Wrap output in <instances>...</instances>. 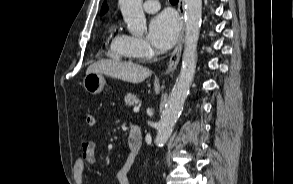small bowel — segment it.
<instances>
[{"label": "small bowel", "instance_id": "obj_1", "mask_svg": "<svg viewBox=\"0 0 293 184\" xmlns=\"http://www.w3.org/2000/svg\"><path fill=\"white\" fill-rule=\"evenodd\" d=\"M95 141L94 139H84L81 143V153L73 165V178L76 184H83L84 172L87 167L94 166L95 158ZM136 156L128 154L123 165L117 172V180L119 184H130L129 172L135 162Z\"/></svg>", "mask_w": 293, "mask_h": 184}]
</instances>
